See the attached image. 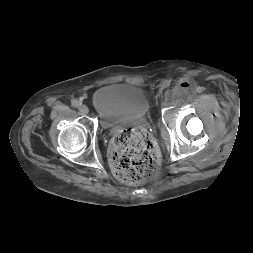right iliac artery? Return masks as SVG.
Segmentation results:
<instances>
[{"label": "right iliac artery", "instance_id": "82829eb1", "mask_svg": "<svg viewBox=\"0 0 253 253\" xmlns=\"http://www.w3.org/2000/svg\"><path fill=\"white\" fill-rule=\"evenodd\" d=\"M71 105L73 107H79L81 105V103L78 100H72L71 101Z\"/></svg>", "mask_w": 253, "mask_h": 253}]
</instances>
